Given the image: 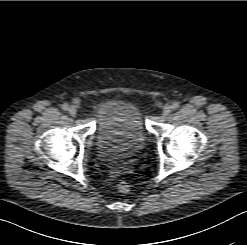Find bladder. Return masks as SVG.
Returning a JSON list of instances; mask_svg holds the SVG:
<instances>
[{
  "label": "bladder",
  "instance_id": "obj_1",
  "mask_svg": "<svg viewBox=\"0 0 247 245\" xmlns=\"http://www.w3.org/2000/svg\"><path fill=\"white\" fill-rule=\"evenodd\" d=\"M147 139L145 121L140 108L133 102L108 99L101 107L94 146L101 158L116 154H133Z\"/></svg>",
  "mask_w": 247,
  "mask_h": 245
}]
</instances>
